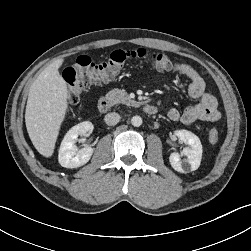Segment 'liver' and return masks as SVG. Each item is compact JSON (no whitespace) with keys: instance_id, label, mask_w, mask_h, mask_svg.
<instances>
[{"instance_id":"1","label":"liver","mask_w":251,"mask_h":251,"mask_svg":"<svg viewBox=\"0 0 251 251\" xmlns=\"http://www.w3.org/2000/svg\"><path fill=\"white\" fill-rule=\"evenodd\" d=\"M58 59L47 66L32 83L25 112L30 140L44 157H51L68 108V89L58 69Z\"/></svg>"}]
</instances>
